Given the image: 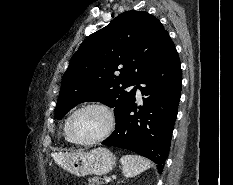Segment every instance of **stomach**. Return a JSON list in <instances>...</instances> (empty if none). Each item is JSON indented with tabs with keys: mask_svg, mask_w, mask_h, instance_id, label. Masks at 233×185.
<instances>
[{
	"mask_svg": "<svg viewBox=\"0 0 233 185\" xmlns=\"http://www.w3.org/2000/svg\"><path fill=\"white\" fill-rule=\"evenodd\" d=\"M54 160L61 168L76 176L107 174L116 165L113 153L102 147L90 151L56 153Z\"/></svg>",
	"mask_w": 233,
	"mask_h": 185,
	"instance_id": "stomach-1",
	"label": "stomach"
}]
</instances>
